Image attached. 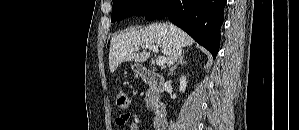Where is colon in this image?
<instances>
[{"instance_id": "colon-1", "label": "colon", "mask_w": 299, "mask_h": 130, "mask_svg": "<svg viewBox=\"0 0 299 130\" xmlns=\"http://www.w3.org/2000/svg\"><path fill=\"white\" fill-rule=\"evenodd\" d=\"M116 105L121 109L129 106V97L124 91H118L115 96Z\"/></svg>"}]
</instances>
